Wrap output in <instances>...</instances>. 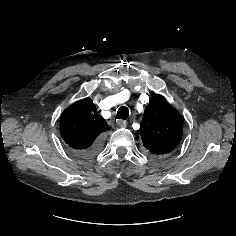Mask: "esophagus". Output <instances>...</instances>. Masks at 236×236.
<instances>
[{"label": "esophagus", "instance_id": "34e87169", "mask_svg": "<svg viewBox=\"0 0 236 236\" xmlns=\"http://www.w3.org/2000/svg\"><path fill=\"white\" fill-rule=\"evenodd\" d=\"M117 125L120 127V128H125L127 126V122L125 120H118L117 121Z\"/></svg>", "mask_w": 236, "mask_h": 236}]
</instances>
